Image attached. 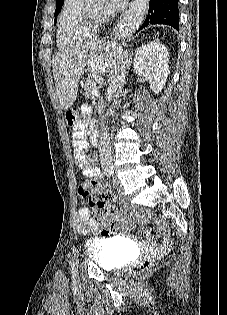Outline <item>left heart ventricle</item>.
I'll list each match as a JSON object with an SVG mask.
<instances>
[{"label": "left heart ventricle", "mask_w": 227, "mask_h": 315, "mask_svg": "<svg viewBox=\"0 0 227 315\" xmlns=\"http://www.w3.org/2000/svg\"><path fill=\"white\" fill-rule=\"evenodd\" d=\"M88 8L92 13L95 14H100L102 11V5L96 2H89L88 4Z\"/></svg>", "instance_id": "obj_1"}]
</instances>
